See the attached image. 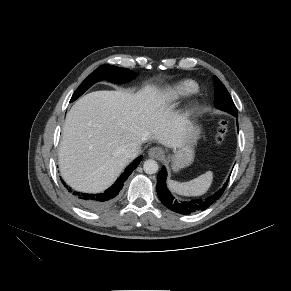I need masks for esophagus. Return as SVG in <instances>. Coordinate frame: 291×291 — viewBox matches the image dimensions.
Instances as JSON below:
<instances>
[{
  "mask_svg": "<svg viewBox=\"0 0 291 291\" xmlns=\"http://www.w3.org/2000/svg\"><path fill=\"white\" fill-rule=\"evenodd\" d=\"M148 155L151 157V158H161L163 156V150L162 148L158 147V146H154V147H151L148 151Z\"/></svg>",
  "mask_w": 291,
  "mask_h": 291,
  "instance_id": "esophagus-1",
  "label": "esophagus"
}]
</instances>
